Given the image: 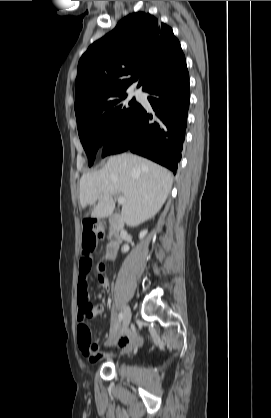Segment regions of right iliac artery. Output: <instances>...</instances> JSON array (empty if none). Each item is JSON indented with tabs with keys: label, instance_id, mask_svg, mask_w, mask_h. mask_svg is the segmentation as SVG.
<instances>
[{
	"label": "right iliac artery",
	"instance_id": "obj_1",
	"mask_svg": "<svg viewBox=\"0 0 271 418\" xmlns=\"http://www.w3.org/2000/svg\"><path fill=\"white\" fill-rule=\"evenodd\" d=\"M122 320H123V313L121 312V313H119V316H118V321H119V323H120Z\"/></svg>",
	"mask_w": 271,
	"mask_h": 418
}]
</instances>
